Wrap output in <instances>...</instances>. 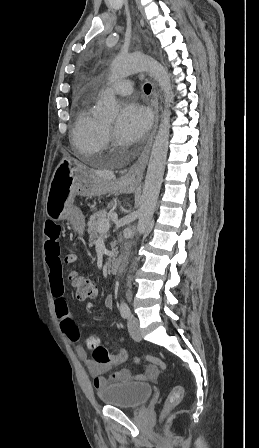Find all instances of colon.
Listing matches in <instances>:
<instances>
[{
	"instance_id": "5ec220e1",
	"label": "colon",
	"mask_w": 259,
	"mask_h": 448,
	"mask_svg": "<svg viewBox=\"0 0 259 448\" xmlns=\"http://www.w3.org/2000/svg\"><path fill=\"white\" fill-rule=\"evenodd\" d=\"M75 260L76 257L72 254H69L66 257L67 263L72 264L75 262ZM69 277L72 286L74 288L75 296L78 299L85 300L93 298L97 295L96 285L87 276L80 275L77 272L72 271ZM86 344L88 348L92 350L93 360L96 363L100 364L111 363L113 365H116L130 360V357L124 353L111 354L106 347L100 344L99 339L96 336L88 337L86 339ZM133 360L134 361L143 360L153 364L154 366L160 368L161 370H167V364L162 359L152 355L134 357ZM182 396H183V388L180 385H175L165 400L163 412L166 413L169 410L175 408L180 403Z\"/></svg>"
}]
</instances>
